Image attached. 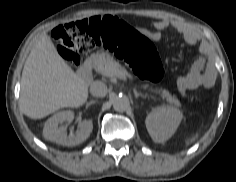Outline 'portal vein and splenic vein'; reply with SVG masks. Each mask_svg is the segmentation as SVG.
<instances>
[{"mask_svg":"<svg viewBox=\"0 0 236 182\" xmlns=\"http://www.w3.org/2000/svg\"><path fill=\"white\" fill-rule=\"evenodd\" d=\"M114 75L117 76V77L120 78V79H126L125 75H123V74L120 73V72H115Z\"/></svg>","mask_w":236,"mask_h":182,"instance_id":"18ae733b","label":"portal vein and splenic vein"}]
</instances>
